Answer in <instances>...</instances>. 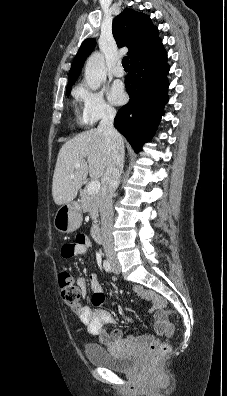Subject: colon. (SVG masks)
<instances>
[{"label": "colon", "mask_w": 227, "mask_h": 396, "mask_svg": "<svg viewBox=\"0 0 227 396\" xmlns=\"http://www.w3.org/2000/svg\"><path fill=\"white\" fill-rule=\"evenodd\" d=\"M61 297L63 302L73 311L80 314L82 311V304L80 302V292L75 283L72 274L69 271H62L58 278ZM170 351V345L167 342L161 343L158 346L152 347L150 362L157 365L160 359Z\"/></svg>", "instance_id": "obj_1"}]
</instances>
